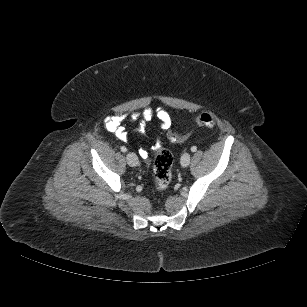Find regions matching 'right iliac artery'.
Listing matches in <instances>:
<instances>
[{
    "label": "right iliac artery",
    "instance_id": "obj_1",
    "mask_svg": "<svg viewBox=\"0 0 307 307\" xmlns=\"http://www.w3.org/2000/svg\"><path fill=\"white\" fill-rule=\"evenodd\" d=\"M120 149H121L122 152H126L127 151L125 146H122Z\"/></svg>",
    "mask_w": 307,
    "mask_h": 307
}]
</instances>
